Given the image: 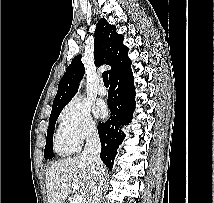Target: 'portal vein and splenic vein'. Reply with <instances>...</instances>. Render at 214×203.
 I'll return each mask as SVG.
<instances>
[{
	"label": "portal vein and splenic vein",
	"mask_w": 214,
	"mask_h": 203,
	"mask_svg": "<svg viewBox=\"0 0 214 203\" xmlns=\"http://www.w3.org/2000/svg\"><path fill=\"white\" fill-rule=\"evenodd\" d=\"M71 187L73 190H78L79 186L75 183L71 184ZM82 196L80 194H77L73 197L72 203H82Z\"/></svg>",
	"instance_id": "1"
}]
</instances>
